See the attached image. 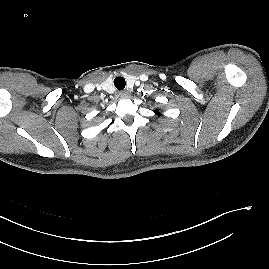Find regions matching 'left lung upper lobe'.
I'll use <instances>...</instances> for the list:
<instances>
[{
  "label": "left lung upper lobe",
  "mask_w": 269,
  "mask_h": 269,
  "mask_svg": "<svg viewBox=\"0 0 269 269\" xmlns=\"http://www.w3.org/2000/svg\"><path fill=\"white\" fill-rule=\"evenodd\" d=\"M155 113H156L158 116L161 115V113H160L158 110H156Z\"/></svg>",
  "instance_id": "5c2ea615"
}]
</instances>
